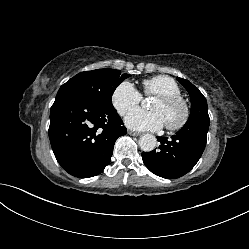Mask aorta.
I'll use <instances>...</instances> for the list:
<instances>
[{
	"label": "aorta",
	"instance_id": "obj_1",
	"mask_svg": "<svg viewBox=\"0 0 249 249\" xmlns=\"http://www.w3.org/2000/svg\"><path fill=\"white\" fill-rule=\"evenodd\" d=\"M139 146L145 152H150L155 149L157 140L152 134H143L139 138Z\"/></svg>",
	"mask_w": 249,
	"mask_h": 249
}]
</instances>
